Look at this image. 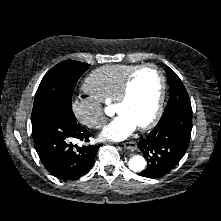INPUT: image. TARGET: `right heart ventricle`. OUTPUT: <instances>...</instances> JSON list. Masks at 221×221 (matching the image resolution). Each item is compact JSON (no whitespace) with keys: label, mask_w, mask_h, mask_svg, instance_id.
Here are the masks:
<instances>
[{"label":"right heart ventricle","mask_w":221,"mask_h":221,"mask_svg":"<svg viewBox=\"0 0 221 221\" xmlns=\"http://www.w3.org/2000/svg\"><path fill=\"white\" fill-rule=\"evenodd\" d=\"M137 65L115 64L100 67L84 81V91L101 103H114L128 74Z\"/></svg>","instance_id":"obj_1"}]
</instances>
